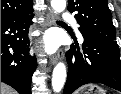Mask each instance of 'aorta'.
Masks as SVG:
<instances>
[{
	"mask_svg": "<svg viewBox=\"0 0 121 94\" xmlns=\"http://www.w3.org/2000/svg\"><path fill=\"white\" fill-rule=\"evenodd\" d=\"M51 7L56 13H61L66 7V0H51ZM66 81V66L58 63L52 74V88L54 92H60Z\"/></svg>",
	"mask_w": 121,
	"mask_h": 94,
	"instance_id": "aorta-1",
	"label": "aorta"
}]
</instances>
